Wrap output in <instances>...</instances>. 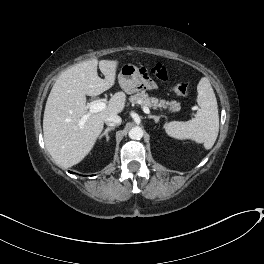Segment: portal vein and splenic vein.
I'll use <instances>...</instances> for the list:
<instances>
[{"mask_svg":"<svg viewBox=\"0 0 264 264\" xmlns=\"http://www.w3.org/2000/svg\"><path fill=\"white\" fill-rule=\"evenodd\" d=\"M105 108H106V104L104 102H101V101L91 102L89 105V113L82 117L80 121V125H83L86 122V120L90 117L91 114L101 112ZM143 111L146 114L150 113V110L148 107H143Z\"/></svg>","mask_w":264,"mask_h":264,"instance_id":"portal-vein-and-splenic-vein-1","label":"portal vein and splenic vein"}]
</instances>
